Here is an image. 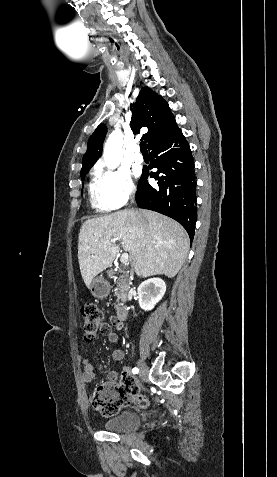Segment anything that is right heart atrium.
Here are the masks:
<instances>
[{"label":"right heart atrium","mask_w":277,"mask_h":477,"mask_svg":"<svg viewBox=\"0 0 277 477\" xmlns=\"http://www.w3.org/2000/svg\"><path fill=\"white\" fill-rule=\"evenodd\" d=\"M101 195L110 209H119L135 195L136 187L129 172L122 168L97 170Z\"/></svg>","instance_id":"1"}]
</instances>
